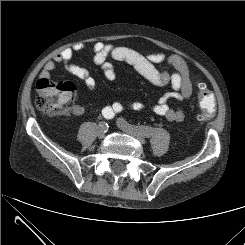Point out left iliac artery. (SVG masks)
Instances as JSON below:
<instances>
[{"label": "left iliac artery", "instance_id": "1", "mask_svg": "<svg viewBox=\"0 0 245 245\" xmlns=\"http://www.w3.org/2000/svg\"><path fill=\"white\" fill-rule=\"evenodd\" d=\"M121 123L122 125L134 129L135 131H137L138 133L146 136V137H150L153 134V128L149 127V126H140V125H132L130 123H128L125 119L121 118Z\"/></svg>", "mask_w": 245, "mask_h": 245}]
</instances>
